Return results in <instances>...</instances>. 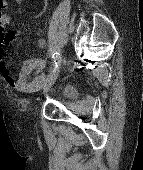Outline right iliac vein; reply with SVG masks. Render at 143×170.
Returning a JSON list of instances; mask_svg holds the SVG:
<instances>
[{"label":"right iliac vein","mask_w":143,"mask_h":170,"mask_svg":"<svg viewBox=\"0 0 143 170\" xmlns=\"http://www.w3.org/2000/svg\"><path fill=\"white\" fill-rule=\"evenodd\" d=\"M56 79L57 76L55 75V76H50L44 80L43 83L44 92L48 91L51 88V86L55 83Z\"/></svg>","instance_id":"1"}]
</instances>
